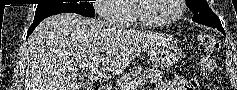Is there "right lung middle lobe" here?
I'll use <instances>...</instances> for the list:
<instances>
[{
    "instance_id": "obj_1",
    "label": "right lung middle lobe",
    "mask_w": 237,
    "mask_h": 90,
    "mask_svg": "<svg viewBox=\"0 0 237 90\" xmlns=\"http://www.w3.org/2000/svg\"><path fill=\"white\" fill-rule=\"evenodd\" d=\"M75 13L82 12L88 14H95L93 5L89 2H80V3H59V4H38L34 21L47 18L49 16L59 14V13Z\"/></svg>"
}]
</instances>
